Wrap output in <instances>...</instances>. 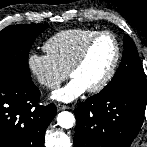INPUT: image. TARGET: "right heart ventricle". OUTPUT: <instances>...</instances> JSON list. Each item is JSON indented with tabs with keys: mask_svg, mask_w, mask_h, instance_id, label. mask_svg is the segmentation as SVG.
I'll list each match as a JSON object with an SVG mask.
<instances>
[{
	"mask_svg": "<svg viewBox=\"0 0 147 147\" xmlns=\"http://www.w3.org/2000/svg\"><path fill=\"white\" fill-rule=\"evenodd\" d=\"M98 31L88 28L62 30L44 43V50L63 69L69 71L86 41Z\"/></svg>",
	"mask_w": 147,
	"mask_h": 147,
	"instance_id": "right-heart-ventricle-1",
	"label": "right heart ventricle"
}]
</instances>
